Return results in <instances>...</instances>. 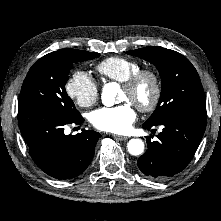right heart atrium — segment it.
<instances>
[{"label":"right heart atrium","instance_id":"d8ad5b80","mask_svg":"<svg viewBox=\"0 0 221 221\" xmlns=\"http://www.w3.org/2000/svg\"><path fill=\"white\" fill-rule=\"evenodd\" d=\"M67 95L79 106L87 108L94 105L99 98L97 82L88 73L74 71L65 83Z\"/></svg>","mask_w":221,"mask_h":221}]
</instances>
